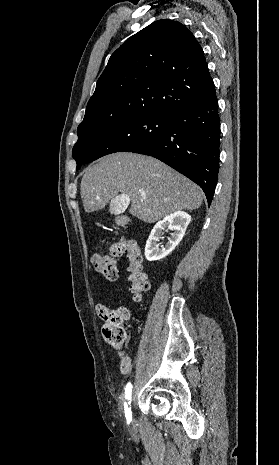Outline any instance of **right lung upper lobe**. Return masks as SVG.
Wrapping results in <instances>:
<instances>
[{
    "label": "right lung upper lobe",
    "mask_w": 279,
    "mask_h": 465,
    "mask_svg": "<svg viewBox=\"0 0 279 465\" xmlns=\"http://www.w3.org/2000/svg\"><path fill=\"white\" fill-rule=\"evenodd\" d=\"M213 84L204 52L181 23L158 20L124 42L97 81L78 130L137 114H170Z\"/></svg>",
    "instance_id": "right-lung-upper-lobe-1"
}]
</instances>
